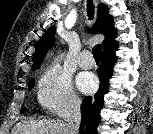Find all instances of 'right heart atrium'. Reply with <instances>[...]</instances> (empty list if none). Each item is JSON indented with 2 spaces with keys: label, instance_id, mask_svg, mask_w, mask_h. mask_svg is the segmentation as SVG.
<instances>
[{
  "label": "right heart atrium",
  "instance_id": "1",
  "mask_svg": "<svg viewBox=\"0 0 153 134\" xmlns=\"http://www.w3.org/2000/svg\"><path fill=\"white\" fill-rule=\"evenodd\" d=\"M37 98L40 106L63 116L78 109L80 98L70 76L57 64L46 67L38 81Z\"/></svg>",
  "mask_w": 153,
  "mask_h": 134
}]
</instances>
